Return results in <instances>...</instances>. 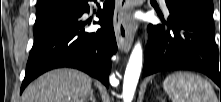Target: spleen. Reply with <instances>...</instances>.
Returning a JSON list of instances; mask_svg holds the SVG:
<instances>
[{
    "label": "spleen",
    "mask_w": 221,
    "mask_h": 102,
    "mask_svg": "<svg viewBox=\"0 0 221 102\" xmlns=\"http://www.w3.org/2000/svg\"><path fill=\"white\" fill-rule=\"evenodd\" d=\"M163 89L172 102H217L211 84L192 72H174L166 77Z\"/></svg>",
    "instance_id": "1"
}]
</instances>
